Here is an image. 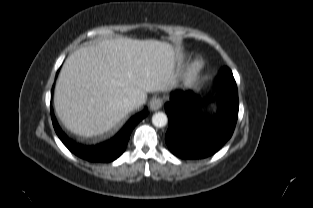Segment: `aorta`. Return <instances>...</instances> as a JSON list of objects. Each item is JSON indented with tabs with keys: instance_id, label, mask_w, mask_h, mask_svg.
I'll list each match as a JSON object with an SVG mask.
<instances>
[{
	"instance_id": "obj_1",
	"label": "aorta",
	"mask_w": 313,
	"mask_h": 208,
	"mask_svg": "<svg viewBox=\"0 0 313 208\" xmlns=\"http://www.w3.org/2000/svg\"><path fill=\"white\" fill-rule=\"evenodd\" d=\"M168 122L167 115L163 112H157L152 116V123L155 127H164Z\"/></svg>"
}]
</instances>
